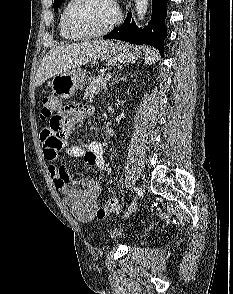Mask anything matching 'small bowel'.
I'll return each mask as SVG.
<instances>
[{
  "instance_id": "1",
  "label": "small bowel",
  "mask_w": 233,
  "mask_h": 294,
  "mask_svg": "<svg viewBox=\"0 0 233 294\" xmlns=\"http://www.w3.org/2000/svg\"><path fill=\"white\" fill-rule=\"evenodd\" d=\"M91 103L63 104L61 110H52L54 117H48L47 125L41 132L45 157L49 160V172L56 189L63 195L64 202L71 213L82 222L94 219L98 209L99 184L91 177L80 180L71 178L67 171L66 158L83 157L87 165L110 175L111 170L105 162L103 147L98 141L84 144H67L68 137H72V126L78 122H85V118L92 115Z\"/></svg>"
}]
</instances>
